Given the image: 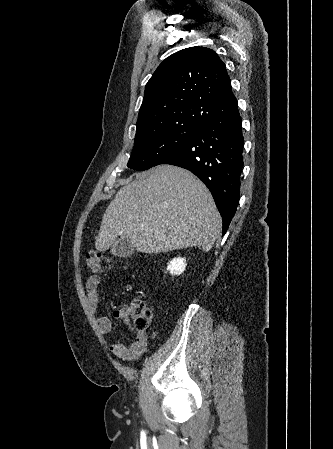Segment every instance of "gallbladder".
<instances>
[{
  "label": "gallbladder",
  "mask_w": 333,
  "mask_h": 449,
  "mask_svg": "<svg viewBox=\"0 0 333 449\" xmlns=\"http://www.w3.org/2000/svg\"><path fill=\"white\" fill-rule=\"evenodd\" d=\"M135 248L125 238H120L117 243L111 247V253L117 257H127L135 252Z\"/></svg>",
  "instance_id": "1"
}]
</instances>
